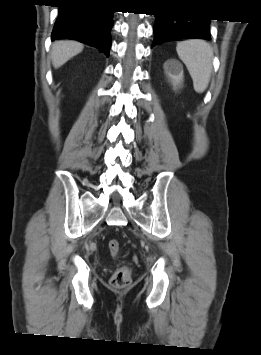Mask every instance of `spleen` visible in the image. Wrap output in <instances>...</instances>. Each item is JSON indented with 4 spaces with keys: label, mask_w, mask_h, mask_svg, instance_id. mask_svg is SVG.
Returning a JSON list of instances; mask_svg holds the SVG:
<instances>
[{
    "label": "spleen",
    "mask_w": 261,
    "mask_h": 355,
    "mask_svg": "<svg viewBox=\"0 0 261 355\" xmlns=\"http://www.w3.org/2000/svg\"><path fill=\"white\" fill-rule=\"evenodd\" d=\"M179 58L186 65L197 93H203L208 87L213 69L212 47L203 40H188L177 44Z\"/></svg>",
    "instance_id": "spleen-1"
}]
</instances>
